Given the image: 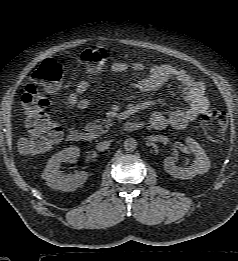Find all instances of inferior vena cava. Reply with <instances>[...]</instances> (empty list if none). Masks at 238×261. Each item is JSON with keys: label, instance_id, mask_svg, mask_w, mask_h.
<instances>
[{"label": "inferior vena cava", "instance_id": "1", "mask_svg": "<svg viewBox=\"0 0 238 261\" xmlns=\"http://www.w3.org/2000/svg\"><path fill=\"white\" fill-rule=\"evenodd\" d=\"M110 146V141H103V142H99L97 145H96V149L98 151H105L109 148Z\"/></svg>", "mask_w": 238, "mask_h": 261}]
</instances>
